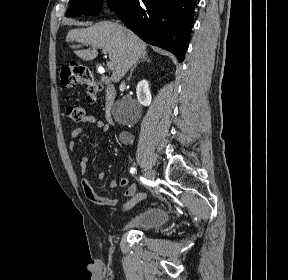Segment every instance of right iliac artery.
<instances>
[{
  "mask_svg": "<svg viewBox=\"0 0 288 280\" xmlns=\"http://www.w3.org/2000/svg\"><path fill=\"white\" fill-rule=\"evenodd\" d=\"M130 172L134 174V173H136V169H135L134 167H132V168L130 169Z\"/></svg>",
  "mask_w": 288,
  "mask_h": 280,
  "instance_id": "obj_1",
  "label": "right iliac artery"
}]
</instances>
